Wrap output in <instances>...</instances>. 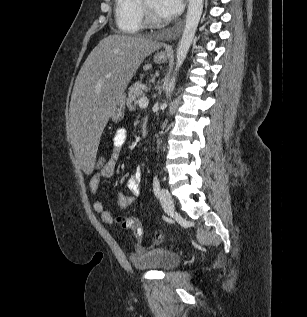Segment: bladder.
I'll return each mask as SVG.
<instances>
[{
  "label": "bladder",
  "mask_w": 307,
  "mask_h": 317,
  "mask_svg": "<svg viewBox=\"0 0 307 317\" xmlns=\"http://www.w3.org/2000/svg\"><path fill=\"white\" fill-rule=\"evenodd\" d=\"M131 262L139 270H171L180 263V256L166 248H154L131 256Z\"/></svg>",
  "instance_id": "obj_1"
}]
</instances>
